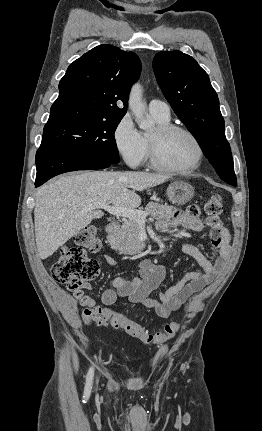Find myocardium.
Here are the masks:
<instances>
[{
  "mask_svg": "<svg viewBox=\"0 0 262 431\" xmlns=\"http://www.w3.org/2000/svg\"><path fill=\"white\" fill-rule=\"evenodd\" d=\"M155 131V138L148 137V155L150 164L154 169L169 174L188 176L193 174L201 167L202 161L204 159V149L198 137L191 130L180 125L169 123L165 125H158ZM176 132L184 133L189 136L196 146V161L194 165L189 169L170 167L168 165H165L160 159L158 151V141L163 137Z\"/></svg>",
  "mask_w": 262,
  "mask_h": 431,
  "instance_id": "myocardium-1",
  "label": "myocardium"
}]
</instances>
